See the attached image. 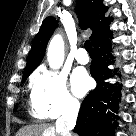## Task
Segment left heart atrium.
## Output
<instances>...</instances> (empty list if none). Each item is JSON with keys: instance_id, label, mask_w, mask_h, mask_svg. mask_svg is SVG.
I'll use <instances>...</instances> for the list:
<instances>
[{"instance_id": "obj_1", "label": "left heart atrium", "mask_w": 136, "mask_h": 136, "mask_svg": "<svg viewBox=\"0 0 136 136\" xmlns=\"http://www.w3.org/2000/svg\"><path fill=\"white\" fill-rule=\"evenodd\" d=\"M92 81L84 70H76L72 76V88L77 96H83L91 87Z\"/></svg>"}]
</instances>
